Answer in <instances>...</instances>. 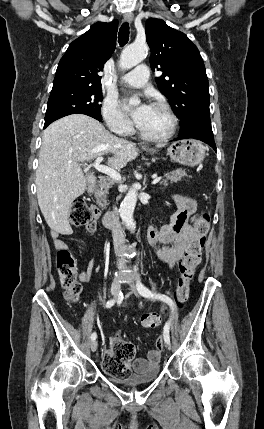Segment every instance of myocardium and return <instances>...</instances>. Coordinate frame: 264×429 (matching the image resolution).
I'll return each instance as SVG.
<instances>
[{"mask_svg": "<svg viewBox=\"0 0 264 429\" xmlns=\"http://www.w3.org/2000/svg\"><path fill=\"white\" fill-rule=\"evenodd\" d=\"M151 107H155V108H158V109L164 111L165 114L169 117V119H170L169 130L161 136H148V135L144 134L140 130V128L137 126V133H138L139 137L145 141H148V142H162V141L168 140L169 138H171L174 135V133L177 129L178 119H177L176 115L171 110V108L163 102H155L152 104Z\"/></svg>", "mask_w": 264, "mask_h": 429, "instance_id": "f54148a6", "label": "myocardium"}]
</instances>
